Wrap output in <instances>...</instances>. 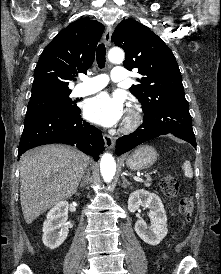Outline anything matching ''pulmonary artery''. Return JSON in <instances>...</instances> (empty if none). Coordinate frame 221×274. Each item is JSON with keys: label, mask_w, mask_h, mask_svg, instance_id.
Wrapping results in <instances>:
<instances>
[{"label": "pulmonary artery", "mask_w": 221, "mask_h": 274, "mask_svg": "<svg viewBox=\"0 0 221 274\" xmlns=\"http://www.w3.org/2000/svg\"><path fill=\"white\" fill-rule=\"evenodd\" d=\"M126 77V71L122 67H115L111 71L110 78L114 82L124 81ZM108 81L109 79L105 74H100L93 77H85L82 79V82L75 87L73 94L75 96L93 94L103 89L108 84Z\"/></svg>", "instance_id": "pulmonary-artery-1"}]
</instances>
